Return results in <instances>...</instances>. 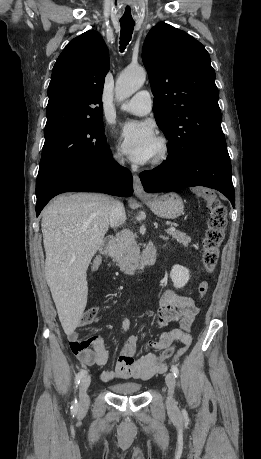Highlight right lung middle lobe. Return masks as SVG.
I'll return each mask as SVG.
<instances>
[{"label":"right lung middle lobe","instance_id":"right-lung-middle-lobe-1","mask_svg":"<svg viewBox=\"0 0 261 459\" xmlns=\"http://www.w3.org/2000/svg\"><path fill=\"white\" fill-rule=\"evenodd\" d=\"M110 158L103 120L45 130L36 185L65 168L83 163H107Z\"/></svg>","mask_w":261,"mask_h":459}]
</instances>
